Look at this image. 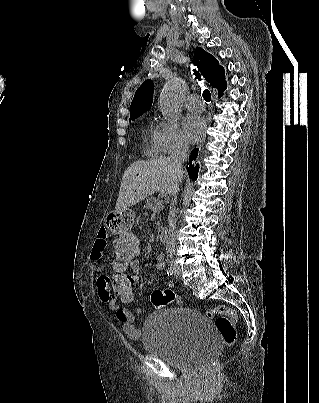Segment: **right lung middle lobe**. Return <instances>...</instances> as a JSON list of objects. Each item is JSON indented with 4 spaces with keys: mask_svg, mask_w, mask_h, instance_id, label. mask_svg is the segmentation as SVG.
I'll list each match as a JSON object with an SVG mask.
<instances>
[{
    "mask_svg": "<svg viewBox=\"0 0 319 403\" xmlns=\"http://www.w3.org/2000/svg\"><path fill=\"white\" fill-rule=\"evenodd\" d=\"M137 117H139V116H137ZM137 117H132V118H130V121H131V120H134V119H136Z\"/></svg>",
    "mask_w": 319,
    "mask_h": 403,
    "instance_id": "1",
    "label": "right lung middle lobe"
}]
</instances>
